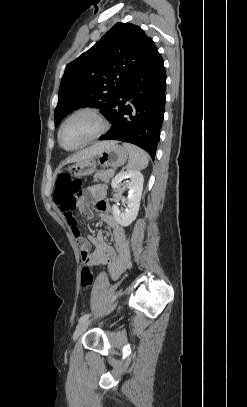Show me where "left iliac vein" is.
Instances as JSON below:
<instances>
[{"label":"left iliac vein","mask_w":247,"mask_h":407,"mask_svg":"<svg viewBox=\"0 0 247 407\" xmlns=\"http://www.w3.org/2000/svg\"><path fill=\"white\" fill-rule=\"evenodd\" d=\"M90 322L88 320L81 322L75 329L73 333V340H77L88 328Z\"/></svg>","instance_id":"obj_1"}]
</instances>
